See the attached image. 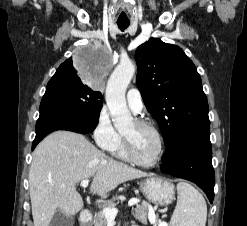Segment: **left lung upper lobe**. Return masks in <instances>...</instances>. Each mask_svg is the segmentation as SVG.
Returning <instances> with one entry per match:
<instances>
[{"instance_id":"1","label":"left lung upper lobe","mask_w":247,"mask_h":226,"mask_svg":"<svg viewBox=\"0 0 247 226\" xmlns=\"http://www.w3.org/2000/svg\"><path fill=\"white\" fill-rule=\"evenodd\" d=\"M135 59L137 86L157 119L166 148L188 131L210 126L200 75L180 47L151 38L137 48Z\"/></svg>"}]
</instances>
